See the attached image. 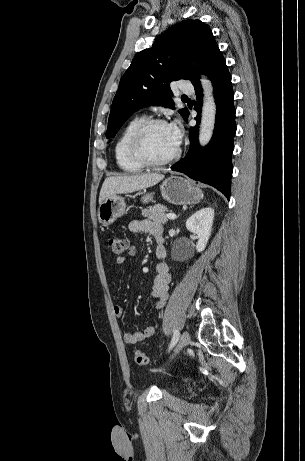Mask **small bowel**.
<instances>
[{"label":"small bowel","mask_w":305,"mask_h":461,"mask_svg":"<svg viewBox=\"0 0 305 461\" xmlns=\"http://www.w3.org/2000/svg\"><path fill=\"white\" fill-rule=\"evenodd\" d=\"M129 229L133 233L150 234L156 239L158 237H162L163 232L162 226L159 223H156L148 219H132L129 223ZM136 254L137 248L135 246H129L127 248L128 257H134L136 256ZM155 256L158 259V262L156 264V276L154 278V282L150 290V295L152 298L155 299L154 308L160 310L164 307L168 299L171 275L169 272V267L165 262V247L157 245L155 249ZM125 261L126 256H120L117 257L116 264L122 266L124 265ZM112 310L116 316H121L123 314V308L118 304H115ZM155 333V326H148L143 331L124 333L123 339L127 344L136 345L145 338L153 337Z\"/></svg>","instance_id":"c3829d8e"}]
</instances>
